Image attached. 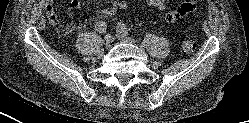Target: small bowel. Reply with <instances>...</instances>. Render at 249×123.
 <instances>
[{
    "label": "small bowel",
    "instance_id": "obj_1",
    "mask_svg": "<svg viewBox=\"0 0 249 123\" xmlns=\"http://www.w3.org/2000/svg\"><path fill=\"white\" fill-rule=\"evenodd\" d=\"M54 1L55 0H44L45 16L50 23H56V21L58 20V15L55 12L53 6ZM141 1H145L148 5L158 8L162 11H165V19L168 22H175L181 19L185 15L192 12L196 7L195 1H188L182 3L175 9L167 10L165 0H141ZM128 3H129L128 0H110V5L108 7L101 9L99 11V14L101 17H110L116 11L126 9ZM80 6L81 3L79 0H72L69 7V11L75 12L80 8Z\"/></svg>",
    "mask_w": 249,
    "mask_h": 123
}]
</instances>
